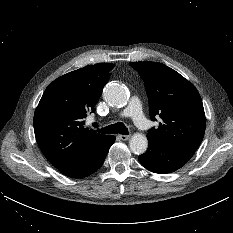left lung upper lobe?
<instances>
[{"label":"left lung upper lobe","mask_w":233,"mask_h":233,"mask_svg":"<svg viewBox=\"0 0 233 233\" xmlns=\"http://www.w3.org/2000/svg\"><path fill=\"white\" fill-rule=\"evenodd\" d=\"M145 83L152 120L158 128L148 131V140L159 145L196 150L205 133L201 97L192 83L175 70L157 62H130Z\"/></svg>","instance_id":"left-lung-upper-lobe-1"}]
</instances>
